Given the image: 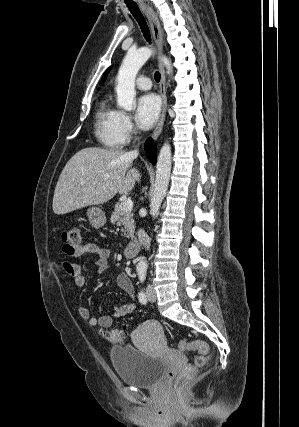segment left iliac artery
Instances as JSON below:
<instances>
[{
    "label": "left iliac artery",
    "mask_w": 299,
    "mask_h": 427,
    "mask_svg": "<svg viewBox=\"0 0 299 427\" xmlns=\"http://www.w3.org/2000/svg\"><path fill=\"white\" fill-rule=\"evenodd\" d=\"M138 277H139V281L141 283H144V281L146 280V270L145 269H139L138 270ZM138 299H139V302L142 304H145L147 302V297H146V294L144 293L143 290H141L138 293Z\"/></svg>",
    "instance_id": "left-iliac-artery-1"
}]
</instances>
